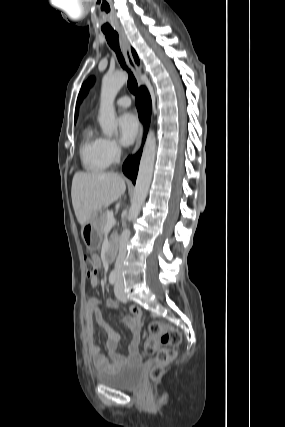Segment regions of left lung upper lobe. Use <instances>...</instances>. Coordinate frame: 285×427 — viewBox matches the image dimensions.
Instances as JSON below:
<instances>
[{
    "label": "left lung upper lobe",
    "instance_id": "left-lung-upper-lobe-1",
    "mask_svg": "<svg viewBox=\"0 0 285 427\" xmlns=\"http://www.w3.org/2000/svg\"><path fill=\"white\" fill-rule=\"evenodd\" d=\"M94 83V77H90L83 85L80 90L79 96H78V103L82 100V98L87 94L89 88Z\"/></svg>",
    "mask_w": 285,
    "mask_h": 427
}]
</instances>
